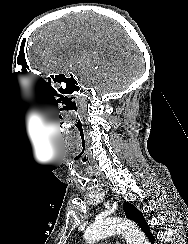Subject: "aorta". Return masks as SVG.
<instances>
[{"label": "aorta", "instance_id": "obj_1", "mask_svg": "<svg viewBox=\"0 0 188 244\" xmlns=\"http://www.w3.org/2000/svg\"><path fill=\"white\" fill-rule=\"evenodd\" d=\"M122 234L127 244H149L143 232L132 221L113 217L95 223L84 232V239L91 244L102 238Z\"/></svg>", "mask_w": 188, "mask_h": 244}]
</instances>
